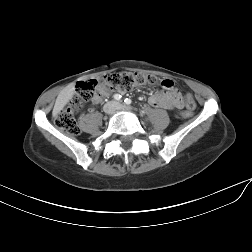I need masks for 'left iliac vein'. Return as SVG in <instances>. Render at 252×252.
<instances>
[{"label":"left iliac vein","instance_id":"1","mask_svg":"<svg viewBox=\"0 0 252 252\" xmlns=\"http://www.w3.org/2000/svg\"><path fill=\"white\" fill-rule=\"evenodd\" d=\"M116 109L117 110H128V107L121 104V103H116Z\"/></svg>","mask_w":252,"mask_h":252}]
</instances>
